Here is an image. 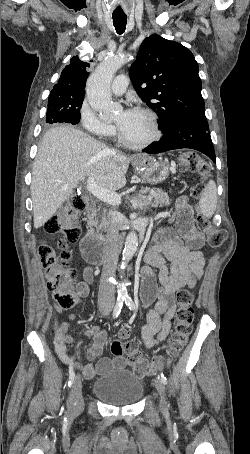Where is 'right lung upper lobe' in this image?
<instances>
[{"label":"right lung upper lobe","mask_w":250,"mask_h":454,"mask_svg":"<svg viewBox=\"0 0 250 454\" xmlns=\"http://www.w3.org/2000/svg\"><path fill=\"white\" fill-rule=\"evenodd\" d=\"M89 66L88 62L81 61L78 56L72 57L70 64L63 69L58 83L54 86L49 97L57 96L70 100L84 98Z\"/></svg>","instance_id":"1"}]
</instances>
